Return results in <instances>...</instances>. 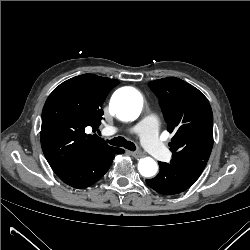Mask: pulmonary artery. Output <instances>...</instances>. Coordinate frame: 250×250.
<instances>
[{
  "instance_id": "1",
  "label": "pulmonary artery",
  "mask_w": 250,
  "mask_h": 250,
  "mask_svg": "<svg viewBox=\"0 0 250 250\" xmlns=\"http://www.w3.org/2000/svg\"><path fill=\"white\" fill-rule=\"evenodd\" d=\"M158 124L152 118H146L129 130L140 136L143 147L155 158H167L169 151L158 138ZM116 131V129H114Z\"/></svg>"
}]
</instances>
